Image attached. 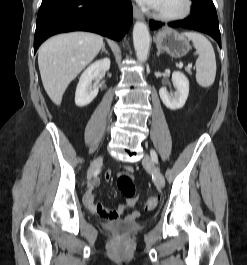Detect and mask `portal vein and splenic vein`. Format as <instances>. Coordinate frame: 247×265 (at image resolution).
Returning <instances> with one entry per match:
<instances>
[{"mask_svg":"<svg viewBox=\"0 0 247 265\" xmlns=\"http://www.w3.org/2000/svg\"><path fill=\"white\" fill-rule=\"evenodd\" d=\"M179 67H180V68H182V67H183V64H182V63H180V64H179ZM191 67H192V65H191V64H189V65H188V68H191Z\"/></svg>","mask_w":247,"mask_h":265,"instance_id":"18ae733b","label":"portal vein and splenic vein"}]
</instances>
